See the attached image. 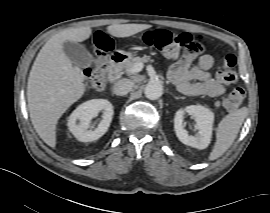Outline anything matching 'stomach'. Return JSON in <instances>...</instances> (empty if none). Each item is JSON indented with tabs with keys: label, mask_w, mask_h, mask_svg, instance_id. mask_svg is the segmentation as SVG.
<instances>
[{
	"label": "stomach",
	"mask_w": 270,
	"mask_h": 213,
	"mask_svg": "<svg viewBox=\"0 0 270 213\" xmlns=\"http://www.w3.org/2000/svg\"><path fill=\"white\" fill-rule=\"evenodd\" d=\"M124 55H127V56H132L133 55V53H131V52H127V53H125V52H122Z\"/></svg>",
	"instance_id": "obj_1"
}]
</instances>
